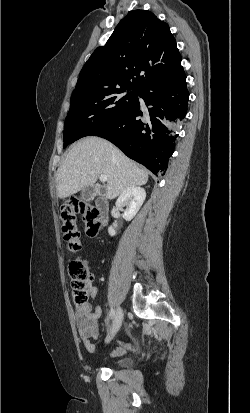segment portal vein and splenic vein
<instances>
[{"label":"portal vein and splenic vein","instance_id":"1","mask_svg":"<svg viewBox=\"0 0 250 413\" xmlns=\"http://www.w3.org/2000/svg\"><path fill=\"white\" fill-rule=\"evenodd\" d=\"M99 179L103 183L107 181V177L105 175H101Z\"/></svg>","mask_w":250,"mask_h":413}]
</instances>
